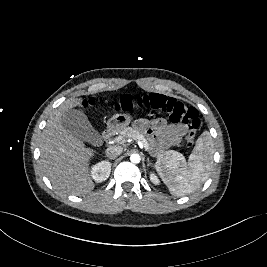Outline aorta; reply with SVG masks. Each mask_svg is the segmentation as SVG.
I'll return each mask as SVG.
<instances>
[{"instance_id": "1", "label": "aorta", "mask_w": 267, "mask_h": 267, "mask_svg": "<svg viewBox=\"0 0 267 267\" xmlns=\"http://www.w3.org/2000/svg\"><path fill=\"white\" fill-rule=\"evenodd\" d=\"M130 160H131L132 163L137 164V163L140 162L141 158H140V155L139 154H132L130 156Z\"/></svg>"}]
</instances>
